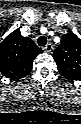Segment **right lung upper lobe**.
Returning a JSON list of instances; mask_svg holds the SVG:
<instances>
[{
	"label": "right lung upper lobe",
	"mask_w": 81,
	"mask_h": 124,
	"mask_svg": "<svg viewBox=\"0 0 81 124\" xmlns=\"http://www.w3.org/2000/svg\"><path fill=\"white\" fill-rule=\"evenodd\" d=\"M40 53L41 49L16 29L0 44V72L11 80L25 77L32 69L33 60Z\"/></svg>",
	"instance_id": "cb5924a9"
}]
</instances>
